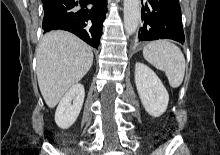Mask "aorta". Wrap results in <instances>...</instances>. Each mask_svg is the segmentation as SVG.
I'll list each match as a JSON object with an SVG mask.
<instances>
[{
	"instance_id": "1",
	"label": "aorta",
	"mask_w": 220,
	"mask_h": 155,
	"mask_svg": "<svg viewBox=\"0 0 220 155\" xmlns=\"http://www.w3.org/2000/svg\"><path fill=\"white\" fill-rule=\"evenodd\" d=\"M140 20V0H124V28L128 35L135 33Z\"/></svg>"
}]
</instances>
